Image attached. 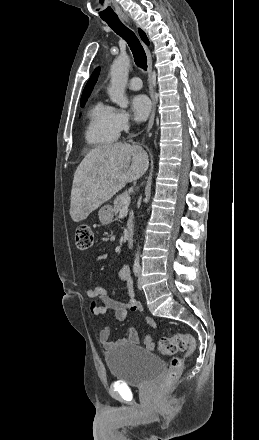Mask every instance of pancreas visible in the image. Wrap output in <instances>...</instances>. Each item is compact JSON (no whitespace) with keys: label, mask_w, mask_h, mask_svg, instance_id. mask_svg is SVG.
Masks as SVG:
<instances>
[{"label":"pancreas","mask_w":259,"mask_h":440,"mask_svg":"<svg viewBox=\"0 0 259 440\" xmlns=\"http://www.w3.org/2000/svg\"><path fill=\"white\" fill-rule=\"evenodd\" d=\"M127 196H129V193L124 192V193L118 195L114 199V209L113 210H114L115 214H118L121 211L122 207L124 206L122 203V199ZM132 221H133V211L130 212L129 219H128V225L132 224Z\"/></svg>","instance_id":"pancreas-1"}]
</instances>
